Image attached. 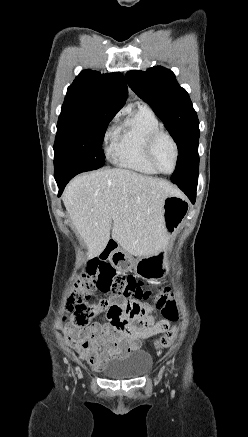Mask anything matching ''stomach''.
Instances as JSON below:
<instances>
[{
  "instance_id": "0dacf381",
  "label": "stomach",
  "mask_w": 248,
  "mask_h": 437,
  "mask_svg": "<svg viewBox=\"0 0 248 437\" xmlns=\"http://www.w3.org/2000/svg\"><path fill=\"white\" fill-rule=\"evenodd\" d=\"M188 212V203L186 199L180 195H168L164 199V227L167 239L174 237L180 229ZM167 246L162 248L156 254L143 257L136 261L131 254L124 250L118 251L114 255V264L116 272H131L138 273L140 279H157L158 276H163L159 273L163 267V262L166 260Z\"/></svg>"
}]
</instances>
